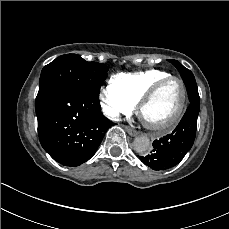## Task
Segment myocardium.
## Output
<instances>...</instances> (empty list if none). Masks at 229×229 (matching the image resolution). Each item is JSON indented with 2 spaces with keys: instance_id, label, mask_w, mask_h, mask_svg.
Masks as SVG:
<instances>
[{
  "instance_id": "myocardium-1",
  "label": "myocardium",
  "mask_w": 229,
  "mask_h": 229,
  "mask_svg": "<svg viewBox=\"0 0 229 229\" xmlns=\"http://www.w3.org/2000/svg\"><path fill=\"white\" fill-rule=\"evenodd\" d=\"M172 80H178L181 83L178 85V103L176 105V110L170 115V118L166 120V125L160 124L159 127H157L146 123L143 118L144 107L160 89L168 85L169 82ZM190 104L191 95L189 93L185 80L180 76L170 75L166 78L158 80L155 84L152 85L151 89H148L146 92L142 94V98L138 99L137 109L139 110V115L141 119L144 121V123L150 130H152L157 135H164L172 131L176 126H178V124L183 120V118L187 114Z\"/></svg>"
}]
</instances>
